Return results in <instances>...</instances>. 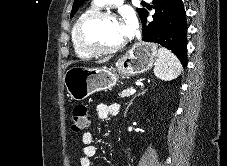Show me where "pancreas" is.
<instances>
[{"label": "pancreas", "instance_id": "cf45deb5", "mask_svg": "<svg viewBox=\"0 0 227 166\" xmlns=\"http://www.w3.org/2000/svg\"><path fill=\"white\" fill-rule=\"evenodd\" d=\"M130 88H127V89H125V90H123L120 94H119V96L120 97H129L131 94L129 93L130 92Z\"/></svg>", "mask_w": 227, "mask_h": 166}]
</instances>
